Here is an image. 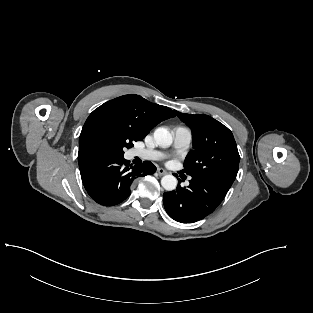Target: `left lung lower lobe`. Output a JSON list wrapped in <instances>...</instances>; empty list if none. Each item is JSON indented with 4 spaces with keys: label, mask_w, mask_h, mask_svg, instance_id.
<instances>
[{
    "label": "left lung lower lobe",
    "mask_w": 313,
    "mask_h": 313,
    "mask_svg": "<svg viewBox=\"0 0 313 313\" xmlns=\"http://www.w3.org/2000/svg\"><path fill=\"white\" fill-rule=\"evenodd\" d=\"M183 188L163 194V203L168 215L182 223H194L211 214L222 202L231 186L217 180L195 178Z\"/></svg>",
    "instance_id": "1"
}]
</instances>
